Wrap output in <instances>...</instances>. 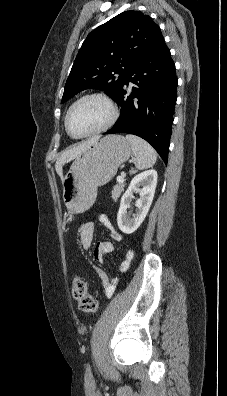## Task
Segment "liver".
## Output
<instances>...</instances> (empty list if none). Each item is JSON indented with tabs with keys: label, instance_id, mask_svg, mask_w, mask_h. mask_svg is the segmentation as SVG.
I'll return each mask as SVG.
<instances>
[{
	"label": "liver",
	"instance_id": "liver-1",
	"mask_svg": "<svg viewBox=\"0 0 227 396\" xmlns=\"http://www.w3.org/2000/svg\"><path fill=\"white\" fill-rule=\"evenodd\" d=\"M98 138H93L90 140H87L78 146L73 147L72 149L64 152L56 161L55 169L57 174L60 176L62 182H63V165L66 164L67 162H70L71 160L75 159L78 157L84 150H86L90 145H92L95 141H97Z\"/></svg>",
	"mask_w": 227,
	"mask_h": 396
}]
</instances>
